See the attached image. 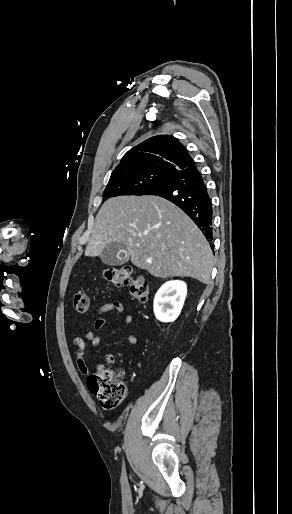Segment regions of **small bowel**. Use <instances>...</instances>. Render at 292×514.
<instances>
[{"label":"small bowel","mask_w":292,"mask_h":514,"mask_svg":"<svg viewBox=\"0 0 292 514\" xmlns=\"http://www.w3.org/2000/svg\"><path fill=\"white\" fill-rule=\"evenodd\" d=\"M123 312L124 306L119 301H110L102 304L95 312L90 329L74 338L73 346L77 354L76 365L81 375L88 377L91 374L85 357L86 341H91L94 346H97L99 344L97 333L105 326L107 318L109 316H120ZM123 323L125 325H131L133 323V317L130 314L124 315ZM125 339L130 345H137L139 343V337L132 333L126 334ZM96 369L102 371L104 366L99 364L96 366Z\"/></svg>","instance_id":"c3829d8e"}]
</instances>
